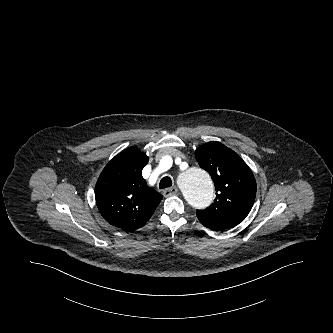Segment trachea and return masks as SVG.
Segmentation results:
<instances>
[{
    "instance_id": "3493384b",
    "label": "trachea",
    "mask_w": 333,
    "mask_h": 333,
    "mask_svg": "<svg viewBox=\"0 0 333 333\" xmlns=\"http://www.w3.org/2000/svg\"><path fill=\"white\" fill-rule=\"evenodd\" d=\"M170 186H172V181H171L170 177H164L161 179V181L159 183V187L161 189L168 188Z\"/></svg>"
}]
</instances>
